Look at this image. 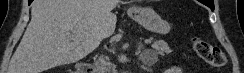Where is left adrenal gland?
Listing matches in <instances>:
<instances>
[{"instance_id":"obj_1","label":"left adrenal gland","mask_w":244,"mask_h":73,"mask_svg":"<svg viewBox=\"0 0 244 73\" xmlns=\"http://www.w3.org/2000/svg\"><path fill=\"white\" fill-rule=\"evenodd\" d=\"M142 49H143V44L140 42V43L138 44V48H137L138 53H140V59H143V55H144L145 52H146V51L141 52Z\"/></svg>"}]
</instances>
